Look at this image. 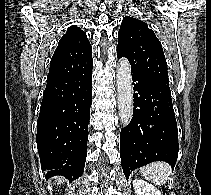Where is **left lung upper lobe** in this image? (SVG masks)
I'll return each instance as SVG.
<instances>
[{"label":"left lung upper lobe","mask_w":211,"mask_h":195,"mask_svg":"<svg viewBox=\"0 0 211 195\" xmlns=\"http://www.w3.org/2000/svg\"><path fill=\"white\" fill-rule=\"evenodd\" d=\"M117 56L129 60L131 71L145 74L170 92L162 45L145 22L130 16L123 17L118 33Z\"/></svg>","instance_id":"5c2ea615"}]
</instances>
